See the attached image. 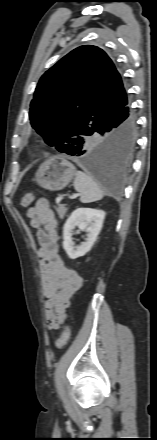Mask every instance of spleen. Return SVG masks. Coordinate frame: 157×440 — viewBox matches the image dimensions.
Here are the masks:
<instances>
[{"label": "spleen", "mask_w": 157, "mask_h": 440, "mask_svg": "<svg viewBox=\"0 0 157 440\" xmlns=\"http://www.w3.org/2000/svg\"><path fill=\"white\" fill-rule=\"evenodd\" d=\"M73 186L80 193L82 203H92L103 198V192L99 185L87 174L77 171Z\"/></svg>", "instance_id": "spleen-1"}]
</instances>
